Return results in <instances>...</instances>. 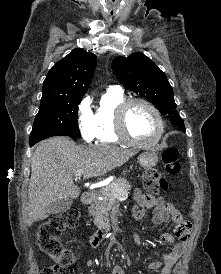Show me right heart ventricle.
<instances>
[{"mask_svg":"<svg viewBox=\"0 0 221 274\" xmlns=\"http://www.w3.org/2000/svg\"><path fill=\"white\" fill-rule=\"evenodd\" d=\"M121 89L109 88L101 96L94 114L95 138L100 143L118 144L123 142L115 127V116L118 106L126 100Z\"/></svg>","mask_w":221,"mask_h":274,"instance_id":"obj_1","label":"right heart ventricle"}]
</instances>
